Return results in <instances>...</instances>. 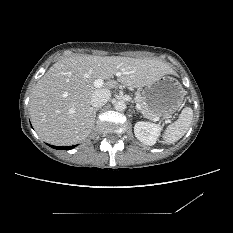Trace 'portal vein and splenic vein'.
<instances>
[{
    "mask_svg": "<svg viewBox=\"0 0 233 233\" xmlns=\"http://www.w3.org/2000/svg\"><path fill=\"white\" fill-rule=\"evenodd\" d=\"M93 85H94V87H96V88H101V87H103V86L105 85V82H104L102 79H96V80L93 82ZM136 107H137L139 110H141V106H140L138 103L136 104ZM153 120L158 121V120H159V117H155V118H153Z\"/></svg>",
    "mask_w": 233,
    "mask_h": 233,
    "instance_id": "1",
    "label": "portal vein and splenic vein"
}]
</instances>
